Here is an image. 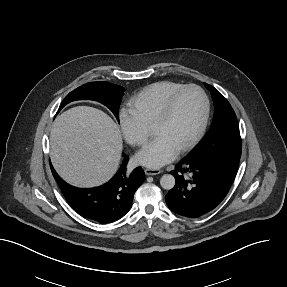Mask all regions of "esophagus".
<instances>
[{
  "instance_id": "esophagus-1",
  "label": "esophagus",
  "mask_w": 287,
  "mask_h": 287,
  "mask_svg": "<svg viewBox=\"0 0 287 287\" xmlns=\"http://www.w3.org/2000/svg\"><path fill=\"white\" fill-rule=\"evenodd\" d=\"M162 171L160 169H152V168H146L145 169V174L146 175H157L160 174Z\"/></svg>"
}]
</instances>
